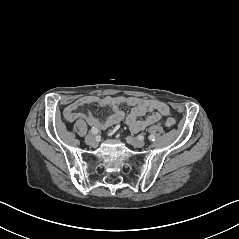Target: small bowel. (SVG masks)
Returning <instances> with one entry per match:
<instances>
[{"label":"small bowel","instance_id":"c3829d8e","mask_svg":"<svg viewBox=\"0 0 239 239\" xmlns=\"http://www.w3.org/2000/svg\"><path fill=\"white\" fill-rule=\"evenodd\" d=\"M88 104L109 107L111 109V114L106 118L98 119L89 113L77 111L79 107ZM122 104L131 107L129 114L126 116V123L134 132L141 131L145 127L158 122L162 117L171 114L169 106L158 100L122 96H83L65 107L64 117L68 122L82 119L93 128L106 129L121 122L125 118V113L120 108ZM145 115H147L145 119H140Z\"/></svg>","mask_w":239,"mask_h":239}]
</instances>
